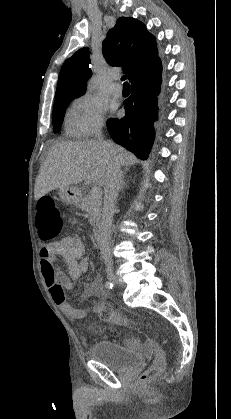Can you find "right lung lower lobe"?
I'll use <instances>...</instances> for the list:
<instances>
[{"label":"right lung lower lobe","instance_id":"obj_1","mask_svg":"<svg viewBox=\"0 0 231 419\" xmlns=\"http://www.w3.org/2000/svg\"><path fill=\"white\" fill-rule=\"evenodd\" d=\"M162 63L158 59L151 66L136 74L131 80V96L124 101L125 116L107 121L113 140L147 159L155 137L154 121L157 120V96L162 82Z\"/></svg>","mask_w":231,"mask_h":419}]
</instances>
